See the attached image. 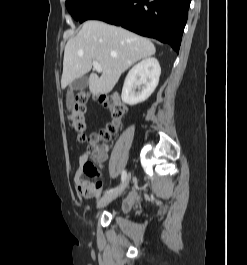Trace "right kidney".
Returning a JSON list of instances; mask_svg holds the SVG:
<instances>
[{
    "mask_svg": "<svg viewBox=\"0 0 247 265\" xmlns=\"http://www.w3.org/2000/svg\"><path fill=\"white\" fill-rule=\"evenodd\" d=\"M161 68L156 58L149 57L136 64L124 81L121 98L129 105L147 100L158 85Z\"/></svg>",
    "mask_w": 247,
    "mask_h": 265,
    "instance_id": "ca27d5eb",
    "label": "right kidney"
}]
</instances>
